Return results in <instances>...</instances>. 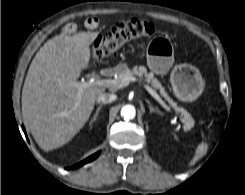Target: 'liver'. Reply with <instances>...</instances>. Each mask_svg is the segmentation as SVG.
Returning a JSON list of instances; mask_svg holds the SVG:
<instances>
[{
  "label": "liver",
  "mask_w": 245,
  "mask_h": 195,
  "mask_svg": "<svg viewBox=\"0 0 245 195\" xmlns=\"http://www.w3.org/2000/svg\"><path fill=\"white\" fill-rule=\"evenodd\" d=\"M99 32L57 35L31 62L22 90V114L45 151L69 142L88 121L105 88L78 82L90 64V45Z\"/></svg>",
  "instance_id": "liver-1"
}]
</instances>
